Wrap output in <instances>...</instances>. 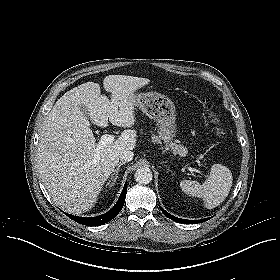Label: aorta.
Listing matches in <instances>:
<instances>
[{
  "instance_id": "obj_1",
  "label": "aorta",
  "mask_w": 280,
  "mask_h": 280,
  "mask_svg": "<svg viewBox=\"0 0 280 280\" xmlns=\"http://www.w3.org/2000/svg\"><path fill=\"white\" fill-rule=\"evenodd\" d=\"M134 178L139 184H149L153 178V175L149 168L142 167L136 170Z\"/></svg>"
}]
</instances>
